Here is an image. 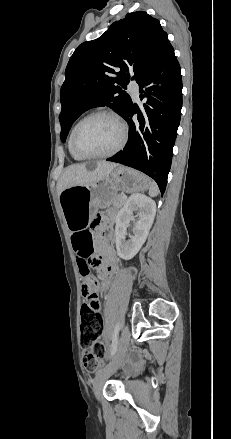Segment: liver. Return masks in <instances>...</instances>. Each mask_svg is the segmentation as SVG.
<instances>
[{"label": "liver", "instance_id": "liver-1", "mask_svg": "<svg viewBox=\"0 0 231 439\" xmlns=\"http://www.w3.org/2000/svg\"><path fill=\"white\" fill-rule=\"evenodd\" d=\"M117 165L115 163L97 162L93 171L87 169L86 164H73L68 166L57 183L58 195L66 188L83 186L94 183L110 173Z\"/></svg>", "mask_w": 231, "mask_h": 439}]
</instances>
